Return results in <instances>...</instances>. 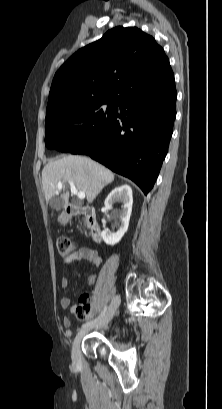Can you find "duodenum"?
Segmentation results:
<instances>
[{"mask_svg":"<svg viewBox=\"0 0 222 409\" xmlns=\"http://www.w3.org/2000/svg\"><path fill=\"white\" fill-rule=\"evenodd\" d=\"M67 216L71 217L77 214H84L86 227L90 238L94 243H100L102 240L101 229L97 222L95 209L92 206H68Z\"/></svg>","mask_w":222,"mask_h":409,"instance_id":"410a0bca","label":"duodenum"}]
</instances>
